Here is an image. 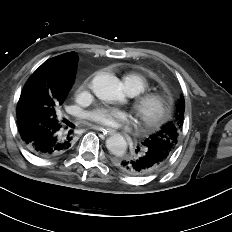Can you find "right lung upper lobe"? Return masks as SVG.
Returning a JSON list of instances; mask_svg holds the SVG:
<instances>
[{"instance_id":"1","label":"right lung upper lobe","mask_w":232,"mask_h":232,"mask_svg":"<svg viewBox=\"0 0 232 232\" xmlns=\"http://www.w3.org/2000/svg\"><path fill=\"white\" fill-rule=\"evenodd\" d=\"M78 59V55L75 52L65 53L44 62L32 75L47 72V74L52 76L66 78L71 85Z\"/></svg>"}]
</instances>
